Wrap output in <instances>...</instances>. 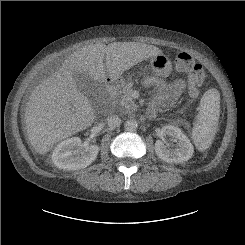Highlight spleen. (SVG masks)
<instances>
[{
	"label": "spleen",
	"instance_id": "3e777b00",
	"mask_svg": "<svg viewBox=\"0 0 245 245\" xmlns=\"http://www.w3.org/2000/svg\"><path fill=\"white\" fill-rule=\"evenodd\" d=\"M220 117V94L217 89L207 90L200 101V111L193 126L192 139L196 148L206 150L212 143Z\"/></svg>",
	"mask_w": 245,
	"mask_h": 245
}]
</instances>
